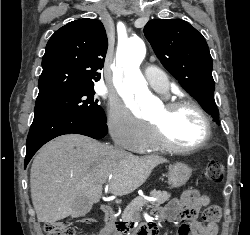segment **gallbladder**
<instances>
[{"mask_svg":"<svg viewBox=\"0 0 250 235\" xmlns=\"http://www.w3.org/2000/svg\"><path fill=\"white\" fill-rule=\"evenodd\" d=\"M92 208L91 203L86 197H77L72 204V218H78L85 216Z\"/></svg>","mask_w":250,"mask_h":235,"instance_id":"obj_1","label":"gallbladder"}]
</instances>
